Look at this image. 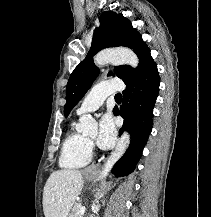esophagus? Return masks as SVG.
Wrapping results in <instances>:
<instances>
[{
    "mask_svg": "<svg viewBox=\"0 0 211 217\" xmlns=\"http://www.w3.org/2000/svg\"><path fill=\"white\" fill-rule=\"evenodd\" d=\"M97 170V165H91L87 171H96Z\"/></svg>",
    "mask_w": 211,
    "mask_h": 217,
    "instance_id": "esophagus-1",
    "label": "esophagus"
}]
</instances>
